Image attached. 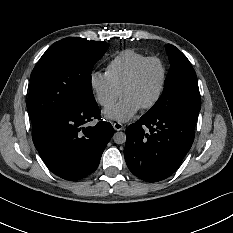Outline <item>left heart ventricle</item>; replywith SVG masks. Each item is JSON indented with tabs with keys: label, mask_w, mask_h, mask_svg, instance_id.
I'll return each mask as SVG.
<instances>
[{
	"label": "left heart ventricle",
	"mask_w": 233,
	"mask_h": 233,
	"mask_svg": "<svg viewBox=\"0 0 233 233\" xmlns=\"http://www.w3.org/2000/svg\"><path fill=\"white\" fill-rule=\"evenodd\" d=\"M162 76L161 64L158 61H152L145 66L136 82L125 89L121 95L133 98L143 107L155 98Z\"/></svg>",
	"instance_id": "1"
}]
</instances>
